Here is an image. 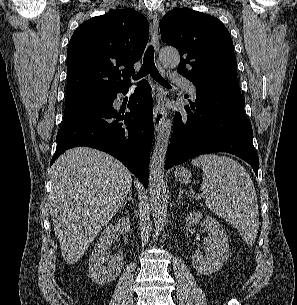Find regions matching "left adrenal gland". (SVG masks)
Listing matches in <instances>:
<instances>
[{"label": "left adrenal gland", "mask_w": 297, "mask_h": 305, "mask_svg": "<svg viewBox=\"0 0 297 305\" xmlns=\"http://www.w3.org/2000/svg\"><path fill=\"white\" fill-rule=\"evenodd\" d=\"M183 194H186V193L183 192V190L180 188L178 198H181Z\"/></svg>", "instance_id": "1"}]
</instances>
